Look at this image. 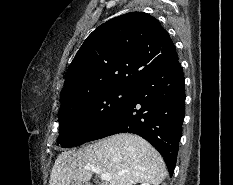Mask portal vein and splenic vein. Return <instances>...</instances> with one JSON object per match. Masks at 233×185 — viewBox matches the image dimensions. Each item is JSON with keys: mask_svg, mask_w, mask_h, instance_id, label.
Here are the masks:
<instances>
[{"mask_svg": "<svg viewBox=\"0 0 233 185\" xmlns=\"http://www.w3.org/2000/svg\"><path fill=\"white\" fill-rule=\"evenodd\" d=\"M84 168L87 169V170L93 171L97 175H100V178L103 181H109V180H111L110 174H108V173H106V174L102 173L101 169L99 167H97V166L88 164V165H85Z\"/></svg>", "mask_w": 233, "mask_h": 185, "instance_id": "portal-vein-and-splenic-vein-1", "label": "portal vein and splenic vein"}]
</instances>
